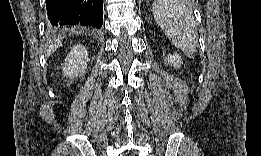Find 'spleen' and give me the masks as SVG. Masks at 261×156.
<instances>
[{
  "instance_id": "spleen-1",
  "label": "spleen",
  "mask_w": 261,
  "mask_h": 156,
  "mask_svg": "<svg viewBox=\"0 0 261 156\" xmlns=\"http://www.w3.org/2000/svg\"><path fill=\"white\" fill-rule=\"evenodd\" d=\"M153 16L172 45L193 56L198 47L195 18L189 6L176 0H156Z\"/></svg>"
}]
</instances>
